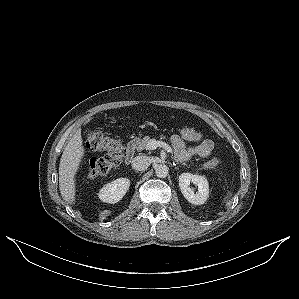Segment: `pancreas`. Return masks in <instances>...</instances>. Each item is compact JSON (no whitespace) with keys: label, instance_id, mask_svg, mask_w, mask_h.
Here are the masks:
<instances>
[{"label":"pancreas","instance_id":"cf45deb5","mask_svg":"<svg viewBox=\"0 0 299 299\" xmlns=\"http://www.w3.org/2000/svg\"><path fill=\"white\" fill-rule=\"evenodd\" d=\"M152 140H155V139H151L149 136H145L144 138L138 140L135 143V147H136L137 151H142L144 149H148V144Z\"/></svg>","mask_w":299,"mask_h":299}]
</instances>
